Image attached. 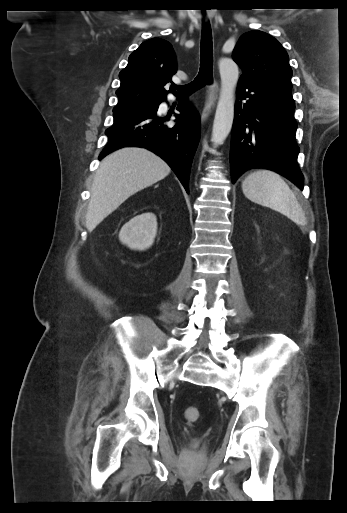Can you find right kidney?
<instances>
[{
	"instance_id": "ca27d5eb",
	"label": "right kidney",
	"mask_w": 347,
	"mask_h": 513,
	"mask_svg": "<svg viewBox=\"0 0 347 513\" xmlns=\"http://www.w3.org/2000/svg\"><path fill=\"white\" fill-rule=\"evenodd\" d=\"M157 233V218L152 212L132 218L119 232V240L134 250H145L152 246Z\"/></svg>"
}]
</instances>
